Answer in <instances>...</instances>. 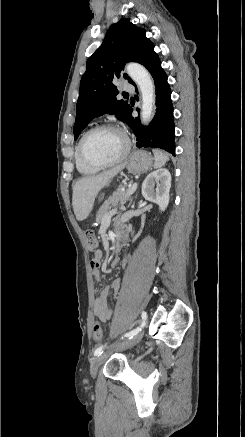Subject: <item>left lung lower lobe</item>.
<instances>
[{"mask_svg":"<svg viewBox=\"0 0 245 437\" xmlns=\"http://www.w3.org/2000/svg\"><path fill=\"white\" fill-rule=\"evenodd\" d=\"M153 49L154 48L144 55L141 64L148 69L155 82L156 114L150 125L144 127L141 125L139 118L132 117L133 109L130 106L126 123L134 131L137 141L136 146L138 148H161L175 155L174 117L171 102V90L167 83V75L161 68L160 59Z\"/></svg>","mask_w":245,"mask_h":437,"instance_id":"left-lung-lower-lobe-1","label":"left lung lower lobe"}]
</instances>
